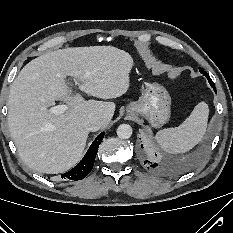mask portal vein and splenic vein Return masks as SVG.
I'll return each mask as SVG.
<instances>
[{
  "label": "portal vein and splenic vein",
  "instance_id": "18ae733b",
  "mask_svg": "<svg viewBox=\"0 0 233 233\" xmlns=\"http://www.w3.org/2000/svg\"><path fill=\"white\" fill-rule=\"evenodd\" d=\"M67 107L66 105L62 104V105H57V106H53L49 109V111L52 113V114H62L66 111Z\"/></svg>",
  "mask_w": 233,
  "mask_h": 233
}]
</instances>
